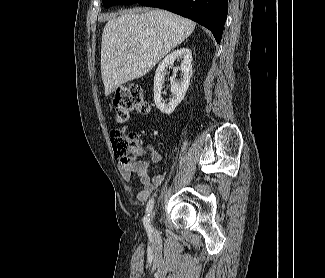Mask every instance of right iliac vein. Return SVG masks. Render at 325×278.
I'll return each instance as SVG.
<instances>
[{
	"label": "right iliac vein",
	"mask_w": 325,
	"mask_h": 278,
	"mask_svg": "<svg viewBox=\"0 0 325 278\" xmlns=\"http://www.w3.org/2000/svg\"><path fill=\"white\" fill-rule=\"evenodd\" d=\"M153 216H154V213H152L151 218H153Z\"/></svg>",
	"instance_id": "right-iliac-vein-1"
}]
</instances>
